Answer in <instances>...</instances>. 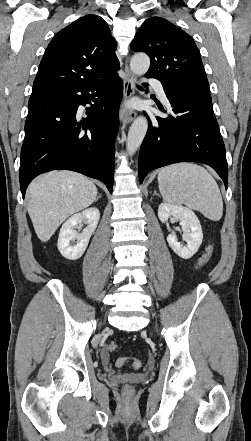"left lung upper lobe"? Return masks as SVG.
<instances>
[{"label":"left lung upper lobe","instance_id":"5c2ea615","mask_svg":"<svg viewBox=\"0 0 251 441\" xmlns=\"http://www.w3.org/2000/svg\"><path fill=\"white\" fill-rule=\"evenodd\" d=\"M131 49L150 57L148 78L210 92L199 50L190 35L161 17L144 21Z\"/></svg>","mask_w":251,"mask_h":441}]
</instances>
